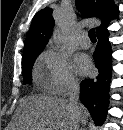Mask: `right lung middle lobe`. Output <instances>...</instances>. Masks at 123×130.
I'll return each mask as SVG.
<instances>
[{
    "mask_svg": "<svg viewBox=\"0 0 123 130\" xmlns=\"http://www.w3.org/2000/svg\"><path fill=\"white\" fill-rule=\"evenodd\" d=\"M39 54H31L23 57V82L24 84H30L32 79V71L31 68L34 64L35 59Z\"/></svg>",
    "mask_w": 123,
    "mask_h": 130,
    "instance_id": "1",
    "label": "right lung middle lobe"
}]
</instances>
